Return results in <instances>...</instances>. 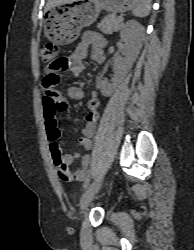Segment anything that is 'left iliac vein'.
<instances>
[{
	"label": "left iliac vein",
	"instance_id": "obj_1",
	"mask_svg": "<svg viewBox=\"0 0 194 250\" xmlns=\"http://www.w3.org/2000/svg\"><path fill=\"white\" fill-rule=\"evenodd\" d=\"M104 176H105V173L103 171L100 172L96 176V178L93 180V182L89 185V187L87 188L85 193L83 194L82 200H81V211L82 212L87 209V207L90 204V202L92 201L93 197L98 192V190L103 182Z\"/></svg>",
	"mask_w": 194,
	"mask_h": 250
}]
</instances>
